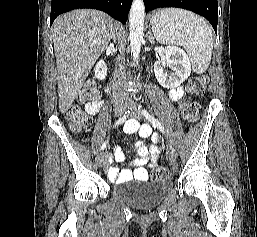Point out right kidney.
<instances>
[{"mask_svg": "<svg viewBox=\"0 0 257 237\" xmlns=\"http://www.w3.org/2000/svg\"><path fill=\"white\" fill-rule=\"evenodd\" d=\"M94 72H95V77L99 80H104L107 74V67L105 65V63L100 60L95 68H94Z\"/></svg>", "mask_w": 257, "mask_h": 237, "instance_id": "right-kidney-1", "label": "right kidney"}]
</instances>
